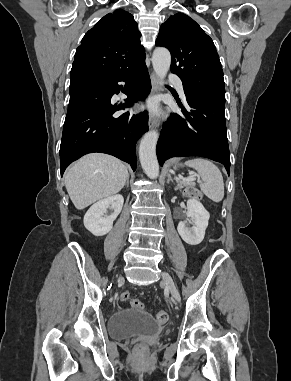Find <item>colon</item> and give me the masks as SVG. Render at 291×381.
<instances>
[{
  "label": "colon",
  "mask_w": 291,
  "mask_h": 381,
  "mask_svg": "<svg viewBox=\"0 0 291 381\" xmlns=\"http://www.w3.org/2000/svg\"><path fill=\"white\" fill-rule=\"evenodd\" d=\"M187 194L191 197H195L197 196L198 192L195 190V189H188L187 190ZM120 299L121 301H128L130 300V304L133 308L135 309H139V310H142L143 309V303L137 299V298H132L130 299V295L129 293L127 292H123L121 295H120ZM155 319L156 321L159 323V324H164L167 322L168 320V313L164 310H161V311H158L156 314H155ZM138 352L140 353H143L145 351V347L142 346V345H139L138 348H137Z\"/></svg>",
  "instance_id": "obj_1"
}]
</instances>
